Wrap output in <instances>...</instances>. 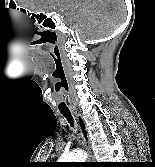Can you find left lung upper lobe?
<instances>
[{"label":"left lung upper lobe","instance_id":"5c2ea615","mask_svg":"<svg viewBox=\"0 0 155 167\" xmlns=\"http://www.w3.org/2000/svg\"><path fill=\"white\" fill-rule=\"evenodd\" d=\"M52 166H54V167H60L61 165L59 163H53Z\"/></svg>","mask_w":155,"mask_h":167}]
</instances>
